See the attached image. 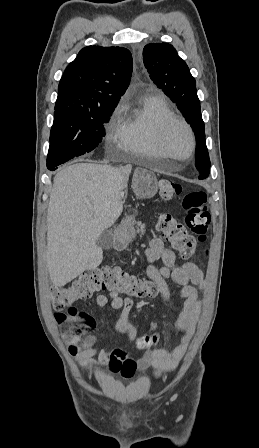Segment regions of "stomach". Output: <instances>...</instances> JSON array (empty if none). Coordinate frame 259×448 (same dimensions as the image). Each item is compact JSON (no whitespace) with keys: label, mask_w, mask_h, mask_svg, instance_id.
<instances>
[{"label":"stomach","mask_w":259,"mask_h":448,"mask_svg":"<svg viewBox=\"0 0 259 448\" xmlns=\"http://www.w3.org/2000/svg\"><path fill=\"white\" fill-rule=\"evenodd\" d=\"M128 217L129 218L123 220L119 228H117V238L122 240V242H125V244H129V242H132L135 238V230L132 222V219H134L135 216L131 213Z\"/></svg>","instance_id":"1"}]
</instances>
